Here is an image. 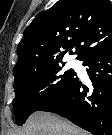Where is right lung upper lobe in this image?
I'll use <instances>...</instances> for the list:
<instances>
[{
	"label": "right lung upper lobe",
	"mask_w": 112,
	"mask_h": 135,
	"mask_svg": "<svg viewBox=\"0 0 112 135\" xmlns=\"http://www.w3.org/2000/svg\"><path fill=\"white\" fill-rule=\"evenodd\" d=\"M112 46L109 0H59L39 13L17 47L14 77L34 73L69 54L77 60ZM63 48L65 51H60ZM75 48V53L72 49Z\"/></svg>",
	"instance_id": "1"
}]
</instances>
